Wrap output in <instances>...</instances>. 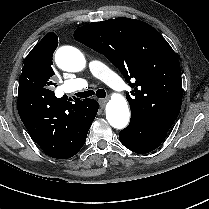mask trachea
<instances>
[{
    "instance_id": "obj_1",
    "label": "trachea",
    "mask_w": 209,
    "mask_h": 209,
    "mask_svg": "<svg viewBox=\"0 0 209 209\" xmlns=\"http://www.w3.org/2000/svg\"><path fill=\"white\" fill-rule=\"evenodd\" d=\"M76 95H77V97H80V98H87L92 95H96L98 98H105L106 92L103 89H98L96 92L93 90H88V91H84V92H78V93H76Z\"/></svg>"
}]
</instances>
